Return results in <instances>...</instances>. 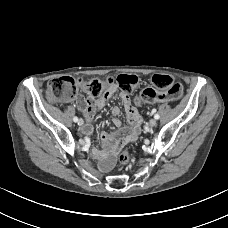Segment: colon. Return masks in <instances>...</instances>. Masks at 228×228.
<instances>
[{
	"label": "colon",
	"instance_id": "obj_1",
	"mask_svg": "<svg viewBox=\"0 0 228 228\" xmlns=\"http://www.w3.org/2000/svg\"><path fill=\"white\" fill-rule=\"evenodd\" d=\"M153 87L144 89L136 98L137 105L142 103L176 101L182 96V87L176 83L172 76L166 74H156L151 79ZM116 83L122 92L128 94L134 90L138 83V77L133 74H121L117 77ZM114 85L111 78L90 80L74 79L72 77H60L51 80L46 89L48 99L55 103H64L79 97L83 91L90 98H98L105 91ZM122 164L130 162L127 151L119 155Z\"/></svg>",
	"mask_w": 228,
	"mask_h": 228
}]
</instances>
